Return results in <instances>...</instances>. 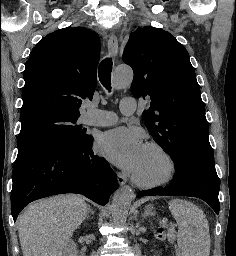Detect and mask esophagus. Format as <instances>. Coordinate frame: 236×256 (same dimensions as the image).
Here are the masks:
<instances>
[{"label": "esophagus", "mask_w": 236, "mask_h": 256, "mask_svg": "<svg viewBox=\"0 0 236 256\" xmlns=\"http://www.w3.org/2000/svg\"><path fill=\"white\" fill-rule=\"evenodd\" d=\"M118 53V40L116 35H111L108 40V54L112 57L115 58ZM117 179L118 183L122 186L126 183L127 178L123 176V174L118 173L117 174Z\"/></svg>", "instance_id": "34e87169"}]
</instances>
